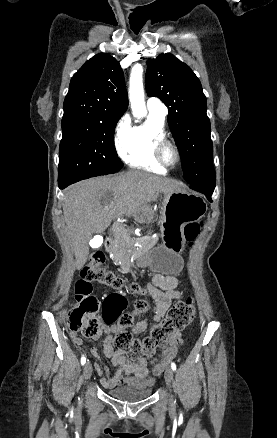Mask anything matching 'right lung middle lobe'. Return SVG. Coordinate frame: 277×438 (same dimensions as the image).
Here are the masks:
<instances>
[{
    "label": "right lung middle lobe",
    "mask_w": 277,
    "mask_h": 438,
    "mask_svg": "<svg viewBox=\"0 0 277 438\" xmlns=\"http://www.w3.org/2000/svg\"><path fill=\"white\" fill-rule=\"evenodd\" d=\"M118 121L63 118L58 183H75L94 176L112 174L123 164L114 146Z\"/></svg>",
    "instance_id": "obj_1"
}]
</instances>
